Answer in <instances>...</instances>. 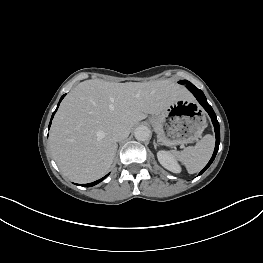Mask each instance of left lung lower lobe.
<instances>
[{
	"label": "left lung lower lobe",
	"instance_id": "1",
	"mask_svg": "<svg viewBox=\"0 0 263 263\" xmlns=\"http://www.w3.org/2000/svg\"><path fill=\"white\" fill-rule=\"evenodd\" d=\"M192 93L193 95L197 98L198 102L204 107V109L209 113L213 125H214V129H215V133H216V144H215V149H214V153L210 159V161L208 162V164L205 166V168L199 173V175H201L213 162L218 148H219V144H220V128H219V123L217 121V117L212 109V107L208 104L205 95L203 94V92L196 88L194 85L192 84H188L186 86Z\"/></svg>",
	"mask_w": 263,
	"mask_h": 263
}]
</instances>
